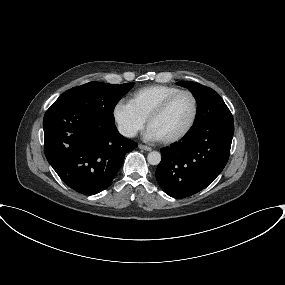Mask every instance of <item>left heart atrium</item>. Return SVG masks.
<instances>
[{"label":"left heart atrium","instance_id":"39dd6f15","mask_svg":"<svg viewBox=\"0 0 285 285\" xmlns=\"http://www.w3.org/2000/svg\"><path fill=\"white\" fill-rule=\"evenodd\" d=\"M146 138L148 140H150V141H157V140H159L150 129H148L147 132H146Z\"/></svg>","mask_w":285,"mask_h":285}]
</instances>
